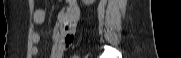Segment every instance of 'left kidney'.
Here are the masks:
<instances>
[{
    "mask_svg": "<svg viewBox=\"0 0 181 58\" xmlns=\"http://www.w3.org/2000/svg\"><path fill=\"white\" fill-rule=\"evenodd\" d=\"M82 2H83L85 5L89 6V5L93 4V2H95V0H82Z\"/></svg>",
    "mask_w": 181,
    "mask_h": 58,
    "instance_id": "obj_1",
    "label": "left kidney"
}]
</instances>
